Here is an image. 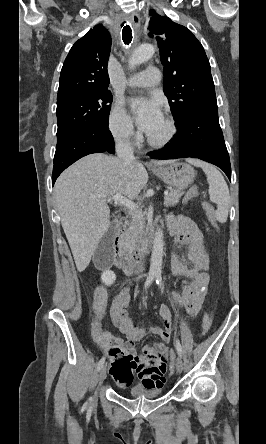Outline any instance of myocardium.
Masks as SVG:
<instances>
[{
  "instance_id": "1",
  "label": "myocardium",
  "mask_w": 266,
  "mask_h": 444,
  "mask_svg": "<svg viewBox=\"0 0 266 444\" xmlns=\"http://www.w3.org/2000/svg\"><path fill=\"white\" fill-rule=\"evenodd\" d=\"M164 119L166 120L168 125V132L164 138L160 140H155L147 135V143L153 148H162L167 146L173 140L177 132L176 124L173 118L170 116H166Z\"/></svg>"
}]
</instances>
